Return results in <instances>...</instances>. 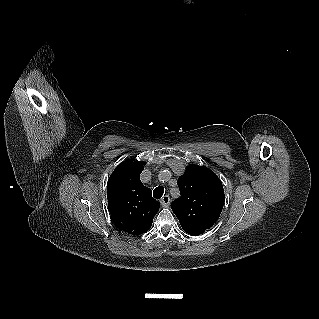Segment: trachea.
<instances>
[{"label": "trachea", "mask_w": 319, "mask_h": 319, "mask_svg": "<svg viewBox=\"0 0 319 319\" xmlns=\"http://www.w3.org/2000/svg\"><path fill=\"white\" fill-rule=\"evenodd\" d=\"M164 188L162 186L156 187L153 191V196L155 199H160L163 196Z\"/></svg>", "instance_id": "3493384b"}]
</instances>
